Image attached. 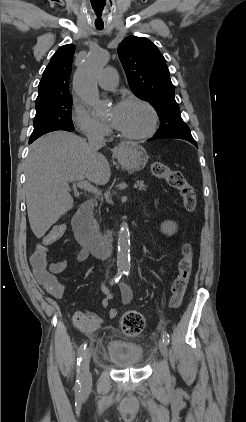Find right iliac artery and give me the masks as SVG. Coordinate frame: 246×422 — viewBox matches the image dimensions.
Here are the masks:
<instances>
[{"label": "right iliac artery", "mask_w": 246, "mask_h": 422, "mask_svg": "<svg viewBox=\"0 0 246 422\" xmlns=\"http://www.w3.org/2000/svg\"><path fill=\"white\" fill-rule=\"evenodd\" d=\"M125 271L122 270H118L117 274L115 275V277L110 281V285H113L114 283H117L121 276L124 274ZM86 347H87V342H84L79 350H78V357H77V380L75 383V389L76 391H80L81 388V375H80V363L84 357L85 351H86Z\"/></svg>", "instance_id": "right-iliac-artery-1"}]
</instances>
